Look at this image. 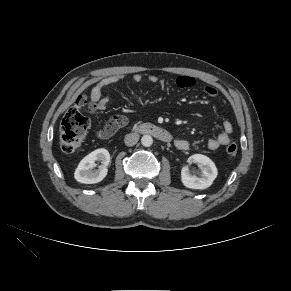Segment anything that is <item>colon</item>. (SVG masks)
Segmentation results:
<instances>
[{
  "instance_id": "1",
  "label": "colon",
  "mask_w": 291,
  "mask_h": 291,
  "mask_svg": "<svg viewBox=\"0 0 291 291\" xmlns=\"http://www.w3.org/2000/svg\"><path fill=\"white\" fill-rule=\"evenodd\" d=\"M87 103L85 97L77 100L63 117L60 125V147L62 151L71 153L76 151L82 144L88 128L89 120L83 113V107ZM124 123L121 117H114L107 125L111 133H114ZM229 157H235L238 152L237 144L230 138L225 147Z\"/></svg>"
}]
</instances>
